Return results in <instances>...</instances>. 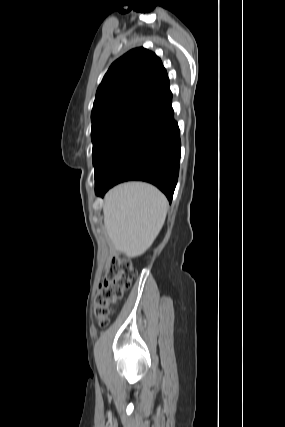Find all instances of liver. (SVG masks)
I'll return each instance as SVG.
<instances>
[{
    "label": "liver",
    "mask_w": 285,
    "mask_h": 427,
    "mask_svg": "<svg viewBox=\"0 0 285 427\" xmlns=\"http://www.w3.org/2000/svg\"><path fill=\"white\" fill-rule=\"evenodd\" d=\"M167 210L166 197L150 184L129 182L112 188L103 214L114 248L128 258L142 255L162 229Z\"/></svg>",
    "instance_id": "1"
}]
</instances>
